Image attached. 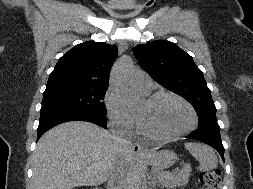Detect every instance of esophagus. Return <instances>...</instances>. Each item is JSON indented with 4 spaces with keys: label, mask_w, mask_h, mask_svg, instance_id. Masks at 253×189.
I'll return each instance as SVG.
<instances>
[{
    "label": "esophagus",
    "mask_w": 253,
    "mask_h": 189,
    "mask_svg": "<svg viewBox=\"0 0 253 189\" xmlns=\"http://www.w3.org/2000/svg\"><path fill=\"white\" fill-rule=\"evenodd\" d=\"M132 152L135 155H145L146 154L145 149L141 145H139L138 143H135L133 145Z\"/></svg>",
    "instance_id": "1"
}]
</instances>
